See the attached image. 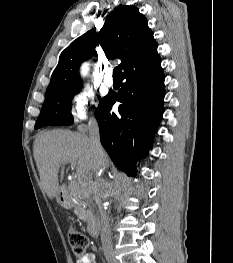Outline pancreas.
I'll list each match as a JSON object with an SVG mask.
<instances>
[{
	"label": "pancreas",
	"mask_w": 233,
	"mask_h": 263,
	"mask_svg": "<svg viewBox=\"0 0 233 263\" xmlns=\"http://www.w3.org/2000/svg\"><path fill=\"white\" fill-rule=\"evenodd\" d=\"M73 198L76 201L75 214L84 222L91 224L94 220L93 209L89 202L85 200V197L81 193L80 187L77 186L73 192Z\"/></svg>",
	"instance_id": "1"
}]
</instances>
